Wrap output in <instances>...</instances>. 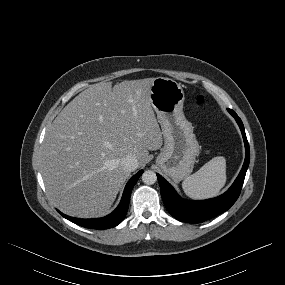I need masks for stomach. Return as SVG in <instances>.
I'll return each instance as SVG.
<instances>
[{"instance_id":"1","label":"stomach","mask_w":285,"mask_h":285,"mask_svg":"<svg viewBox=\"0 0 285 285\" xmlns=\"http://www.w3.org/2000/svg\"><path fill=\"white\" fill-rule=\"evenodd\" d=\"M184 99L182 85L175 80L157 77L153 81L150 100L164 136V147L156 164L175 182L191 174L200 150L193 126L183 113Z\"/></svg>"}]
</instances>
